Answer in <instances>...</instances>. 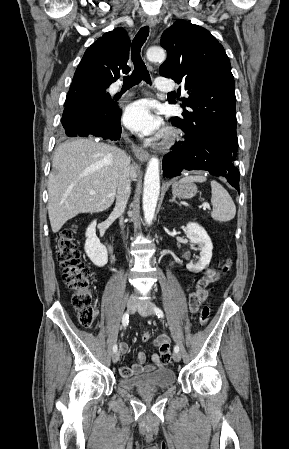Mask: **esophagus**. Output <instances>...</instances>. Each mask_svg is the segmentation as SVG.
I'll list each match as a JSON object with an SVG mask.
<instances>
[{"label":"esophagus","mask_w":289,"mask_h":449,"mask_svg":"<svg viewBox=\"0 0 289 449\" xmlns=\"http://www.w3.org/2000/svg\"><path fill=\"white\" fill-rule=\"evenodd\" d=\"M147 25L150 26L151 28H154L156 26L157 20L154 16H149L147 21H146ZM132 150L134 152V154L141 160L143 161H147L150 157V154L148 153L147 150H145L144 148H142L141 146L138 145H132Z\"/></svg>","instance_id":"esophagus-1"}]
</instances>
